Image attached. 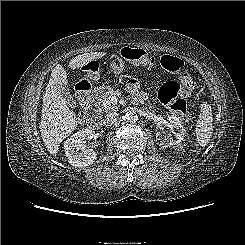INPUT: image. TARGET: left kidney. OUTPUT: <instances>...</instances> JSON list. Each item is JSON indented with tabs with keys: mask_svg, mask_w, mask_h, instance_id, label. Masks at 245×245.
<instances>
[{
	"mask_svg": "<svg viewBox=\"0 0 245 245\" xmlns=\"http://www.w3.org/2000/svg\"><path fill=\"white\" fill-rule=\"evenodd\" d=\"M169 122L171 127L176 129V132H174L175 137L173 139L166 135V131L164 129H161L156 133V140H158L159 145L163 148L179 145L185 140V130L179 118L170 117Z\"/></svg>",
	"mask_w": 245,
	"mask_h": 245,
	"instance_id": "1",
	"label": "left kidney"
}]
</instances>
